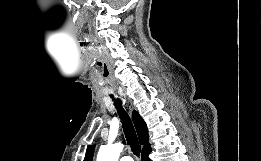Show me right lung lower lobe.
I'll return each mask as SVG.
<instances>
[{"label":"right lung lower lobe","mask_w":261,"mask_h":161,"mask_svg":"<svg viewBox=\"0 0 261 161\" xmlns=\"http://www.w3.org/2000/svg\"><path fill=\"white\" fill-rule=\"evenodd\" d=\"M150 152H151V151L142 153V155H141V161H151V160L149 159V157H148V155H149Z\"/></svg>","instance_id":"right-lung-lower-lobe-1"}]
</instances>
